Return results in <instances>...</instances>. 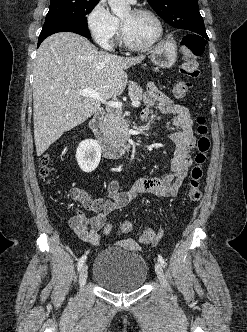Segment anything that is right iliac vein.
Segmentation results:
<instances>
[{"mask_svg": "<svg viewBox=\"0 0 247 332\" xmlns=\"http://www.w3.org/2000/svg\"><path fill=\"white\" fill-rule=\"evenodd\" d=\"M87 277H88V267L85 264L82 267V269L80 271V275H79V284H80V286H83L86 283Z\"/></svg>", "mask_w": 247, "mask_h": 332, "instance_id": "1", "label": "right iliac vein"}]
</instances>
